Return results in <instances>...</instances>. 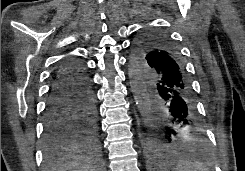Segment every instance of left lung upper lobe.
<instances>
[{"instance_id": "5c2ea615", "label": "left lung upper lobe", "mask_w": 245, "mask_h": 171, "mask_svg": "<svg viewBox=\"0 0 245 171\" xmlns=\"http://www.w3.org/2000/svg\"><path fill=\"white\" fill-rule=\"evenodd\" d=\"M175 47L171 40L161 31L146 30L142 32L133 44L134 61H149V56L161 47Z\"/></svg>"}]
</instances>
